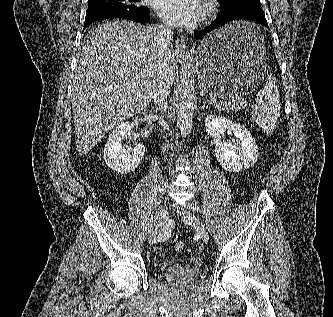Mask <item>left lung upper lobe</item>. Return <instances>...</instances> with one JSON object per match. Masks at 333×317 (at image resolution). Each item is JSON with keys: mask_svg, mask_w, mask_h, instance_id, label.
Instances as JSON below:
<instances>
[{"mask_svg": "<svg viewBox=\"0 0 333 317\" xmlns=\"http://www.w3.org/2000/svg\"><path fill=\"white\" fill-rule=\"evenodd\" d=\"M220 4V10L222 12L251 7V6H261L260 0H217Z\"/></svg>", "mask_w": 333, "mask_h": 317, "instance_id": "left-lung-upper-lobe-1", "label": "left lung upper lobe"}]
</instances>
